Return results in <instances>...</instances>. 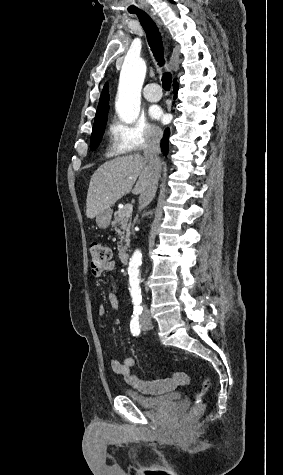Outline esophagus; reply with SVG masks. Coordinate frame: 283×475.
I'll use <instances>...</instances> for the list:
<instances>
[{"mask_svg": "<svg viewBox=\"0 0 283 475\" xmlns=\"http://www.w3.org/2000/svg\"><path fill=\"white\" fill-rule=\"evenodd\" d=\"M153 18L160 24V20L157 17H153Z\"/></svg>", "mask_w": 283, "mask_h": 475, "instance_id": "esophagus-1", "label": "esophagus"}]
</instances>
